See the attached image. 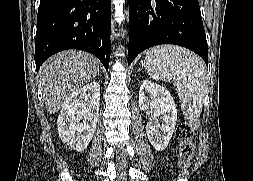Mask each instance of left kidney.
Segmentation results:
<instances>
[{
    "instance_id": "left-kidney-1",
    "label": "left kidney",
    "mask_w": 253,
    "mask_h": 181,
    "mask_svg": "<svg viewBox=\"0 0 253 181\" xmlns=\"http://www.w3.org/2000/svg\"><path fill=\"white\" fill-rule=\"evenodd\" d=\"M139 107L148 116L146 132L157 151H163L172 138L176 121V104L170 92L162 85L145 80L139 90ZM153 110V115L150 116Z\"/></svg>"
}]
</instances>
